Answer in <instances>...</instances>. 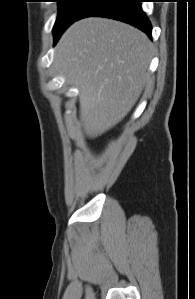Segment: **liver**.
Instances as JSON below:
<instances>
[{
	"instance_id": "obj_1",
	"label": "liver",
	"mask_w": 195,
	"mask_h": 299,
	"mask_svg": "<svg viewBox=\"0 0 195 299\" xmlns=\"http://www.w3.org/2000/svg\"><path fill=\"white\" fill-rule=\"evenodd\" d=\"M151 53L144 33L111 19L91 17L66 30L54 66L79 88L87 135L100 136L132 109L149 78Z\"/></svg>"
}]
</instances>
